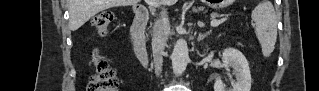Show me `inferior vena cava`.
<instances>
[{"mask_svg": "<svg viewBox=\"0 0 319 91\" xmlns=\"http://www.w3.org/2000/svg\"><path fill=\"white\" fill-rule=\"evenodd\" d=\"M170 30L167 12L164 9L161 16L155 21L153 27L152 51L155 73L159 75L162 71L164 49Z\"/></svg>", "mask_w": 319, "mask_h": 91, "instance_id": "inferior-vena-cava-1", "label": "inferior vena cava"}]
</instances>
